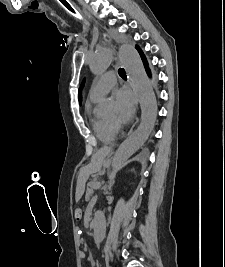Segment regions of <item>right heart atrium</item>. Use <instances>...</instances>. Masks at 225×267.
<instances>
[{"label":"right heart atrium","mask_w":225,"mask_h":267,"mask_svg":"<svg viewBox=\"0 0 225 267\" xmlns=\"http://www.w3.org/2000/svg\"><path fill=\"white\" fill-rule=\"evenodd\" d=\"M110 127H111L114 131H116V125H115L114 123L110 122Z\"/></svg>","instance_id":"d8ad5b80"}]
</instances>
